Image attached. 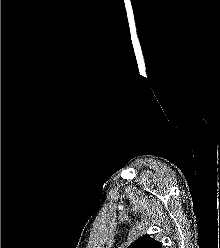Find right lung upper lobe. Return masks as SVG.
Listing matches in <instances>:
<instances>
[{"label":"right lung upper lobe","mask_w":220,"mask_h":248,"mask_svg":"<svg viewBox=\"0 0 220 248\" xmlns=\"http://www.w3.org/2000/svg\"><path fill=\"white\" fill-rule=\"evenodd\" d=\"M128 248H162L159 241L152 239L150 236L145 235L136 240Z\"/></svg>","instance_id":"1"}]
</instances>
